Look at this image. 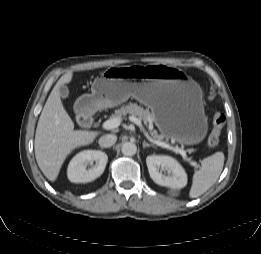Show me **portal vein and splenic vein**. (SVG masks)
<instances>
[{
    "label": "portal vein and splenic vein",
    "mask_w": 261,
    "mask_h": 254,
    "mask_svg": "<svg viewBox=\"0 0 261 254\" xmlns=\"http://www.w3.org/2000/svg\"><path fill=\"white\" fill-rule=\"evenodd\" d=\"M129 120L133 123H135L139 128L140 130L143 132L144 136L150 141L152 142L153 144H156L158 146H161L163 148H167V149H170V150H173L174 152H177L179 154H181V156L186 159L191 166H194L196 168L199 167V165L192 161L190 158L187 157V154H186V151L179 148V147H173L165 142H161V141H158V140H155L153 139L149 134L148 132L146 131L145 127L143 126L142 122L140 119H138L137 117L135 116H130L129 117ZM120 123H121V118H118V117H115V118H110L108 120H106L103 124H102V127L106 130H111V129H114V128H117L118 126H120Z\"/></svg>",
    "instance_id": "obj_1"
}]
</instances>
